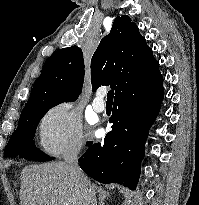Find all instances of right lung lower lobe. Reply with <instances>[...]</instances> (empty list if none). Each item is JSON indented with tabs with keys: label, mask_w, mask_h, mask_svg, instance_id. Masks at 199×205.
<instances>
[{
	"label": "right lung lower lobe",
	"mask_w": 199,
	"mask_h": 205,
	"mask_svg": "<svg viewBox=\"0 0 199 205\" xmlns=\"http://www.w3.org/2000/svg\"><path fill=\"white\" fill-rule=\"evenodd\" d=\"M163 99L159 69L134 80L115 96L110 123L112 130L101 143L87 142L79 159L81 169L101 183H118L135 189L144 157L148 129Z\"/></svg>",
	"instance_id": "1"
}]
</instances>
